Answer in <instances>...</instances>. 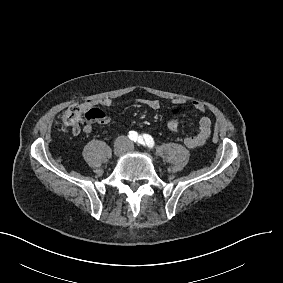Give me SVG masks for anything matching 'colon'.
<instances>
[{
  "instance_id": "colon-1",
  "label": "colon",
  "mask_w": 283,
  "mask_h": 283,
  "mask_svg": "<svg viewBox=\"0 0 283 283\" xmlns=\"http://www.w3.org/2000/svg\"><path fill=\"white\" fill-rule=\"evenodd\" d=\"M86 122V121H85ZM60 123L62 126L68 128L73 134H77L83 127V116L78 106L70 105L60 117ZM167 130L171 133H177L179 130V124L175 120L174 116L170 118L167 123Z\"/></svg>"
}]
</instances>
